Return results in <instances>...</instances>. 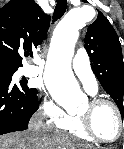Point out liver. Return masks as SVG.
Listing matches in <instances>:
<instances>
[{"label":"liver","instance_id":"obj_1","mask_svg":"<svg viewBox=\"0 0 124 149\" xmlns=\"http://www.w3.org/2000/svg\"><path fill=\"white\" fill-rule=\"evenodd\" d=\"M50 144V138L44 133L37 138H31L29 132L0 136V149H46ZM83 149L92 148L87 145Z\"/></svg>","mask_w":124,"mask_h":149}]
</instances>
